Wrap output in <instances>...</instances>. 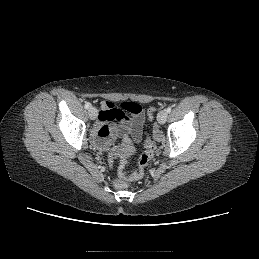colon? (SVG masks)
Returning a JSON list of instances; mask_svg holds the SVG:
<instances>
[{
    "mask_svg": "<svg viewBox=\"0 0 259 259\" xmlns=\"http://www.w3.org/2000/svg\"><path fill=\"white\" fill-rule=\"evenodd\" d=\"M120 107L132 113H135L138 111V106L135 105L133 102H124L120 105ZM155 114H156L155 108L148 109L147 117L149 120H152ZM120 146H121L120 143H116L114 148L119 149ZM155 150H156L155 143L150 138H146L144 142V151L139 157L138 170L130 174L129 177H127L126 171H125L126 160L125 159L122 160L119 167V177L115 179L114 185L118 189H125L128 187V179H139L140 177H142L155 153Z\"/></svg>",
    "mask_w": 259,
    "mask_h": 259,
    "instance_id": "colon-1",
    "label": "colon"
}]
</instances>
